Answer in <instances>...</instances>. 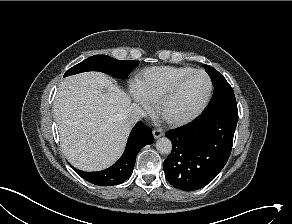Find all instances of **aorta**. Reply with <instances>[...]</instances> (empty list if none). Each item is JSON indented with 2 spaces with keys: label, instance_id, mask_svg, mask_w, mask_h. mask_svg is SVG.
<instances>
[{
  "label": "aorta",
  "instance_id": "762f6f07",
  "mask_svg": "<svg viewBox=\"0 0 292 224\" xmlns=\"http://www.w3.org/2000/svg\"><path fill=\"white\" fill-rule=\"evenodd\" d=\"M156 149L162 154H169L172 151V143L166 137L159 138L156 142Z\"/></svg>",
  "mask_w": 292,
  "mask_h": 224
}]
</instances>
